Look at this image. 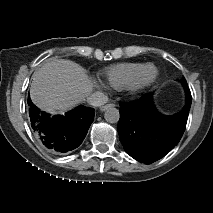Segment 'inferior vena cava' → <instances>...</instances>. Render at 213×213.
<instances>
[{"mask_svg": "<svg viewBox=\"0 0 213 213\" xmlns=\"http://www.w3.org/2000/svg\"><path fill=\"white\" fill-rule=\"evenodd\" d=\"M86 101L89 105L99 107L107 103L108 96L101 91H95L87 97Z\"/></svg>", "mask_w": 213, "mask_h": 213, "instance_id": "1", "label": "inferior vena cava"}]
</instances>
